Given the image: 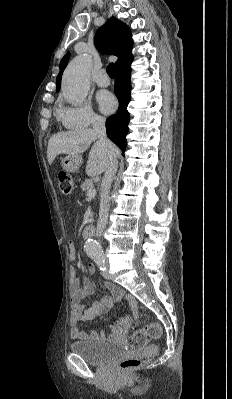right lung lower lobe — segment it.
<instances>
[{
    "label": "right lung lower lobe",
    "mask_w": 232,
    "mask_h": 399,
    "mask_svg": "<svg viewBox=\"0 0 232 399\" xmlns=\"http://www.w3.org/2000/svg\"><path fill=\"white\" fill-rule=\"evenodd\" d=\"M132 59L116 67L115 74V94L119 101V109L115 115L106 120L107 136L122 150V155L126 149V134L128 133V124L130 114L127 111V105L131 95V63Z\"/></svg>",
    "instance_id": "1"
}]
</instances>
